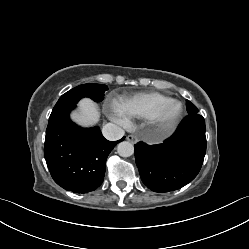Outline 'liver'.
Here are the masks:
<instances>
[{"label": "liver", "mask_w": 249, "mask_h": 249, "mask_svg": "<svg viewBox=\"0 0 249 249\" xmlns=\"http://www.w3.org/2000/svg\"><path fill=\"white\" fill-rule=\"evenodd\" d=\"M74 122L82 127L95 125L99 120V113L96 104L89 98H84L79 102V109L71 114Z\"/></svg>", "instance_id": "liver-1"}]
</instances>
